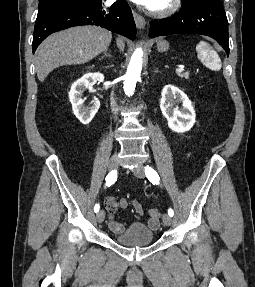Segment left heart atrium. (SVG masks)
<instances>
[{
    "label": "left heart atrium",
    "instance_id": "obj_1",
    "mask_svg": "<svg viewBox=\"0 0 255 287\" xmlns=\"http://www.w3.org/2000/svg\"><path fill=\"white\" fill-rule=\"evenodd\" d=\"M140 1H146V0H140ZM117 13H120V12H117Z\"/></svg>",
    "mask_w": 255,
    "mask_h": 287
}]
</instances>
